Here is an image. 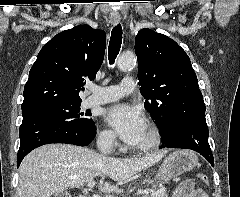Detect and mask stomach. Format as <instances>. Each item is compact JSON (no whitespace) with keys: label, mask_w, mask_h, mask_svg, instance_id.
I'll return each instance as SVG.
<instances>
[{"label":"stomach","mask_w":240,"mask_h":197,"mask_svg":"<svg viewBox=\"0 0 240 197\" xmlns=\"http://www.w3.org/2000/svg\"><path fill=\"white\" fill-rule=\"evenodd\" d=\"M197 164L198 158L194 152L189 150H176L166 156L156 175V179L160 182H165L194 169ZM155 180H150L149 183H153Z\"/></svg>","instance_id":"stomach-1"}]
</instances>
